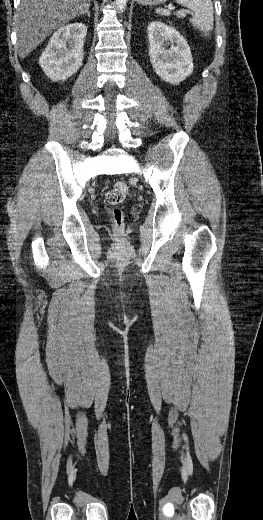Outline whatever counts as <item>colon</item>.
I'll use <instances>...</instances> for the list:
<instances>
[{
	"label": "colon",
	"instance_id": "5ec220e1",
	"mask_svg": "<svg viewBox=\"0 0 263 520\" xmlns=\"http://www.w3.org/2000/svg\"><path fill=\"white\" fill-rule=\"evenodd\" d=\"M128 192V185L123 181H117L112 185V187L106 192L105 195L106 202L110 206L114 207L111 209L110 213L112 223L117 229L121 228L124 224L123 211L117 206L125 200Z\"/></svg>",
	"mask_w": 263,
	"mask_h": 520
}]
</instances>
